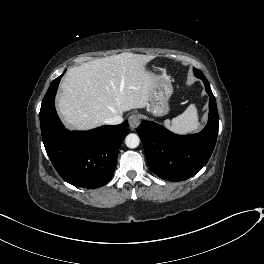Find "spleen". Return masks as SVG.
I'll list each match as a JSON object with an SVG mask.
<instances>
[{
	"instance_id": "spleen-1",
	"label": "spleen",
	"mask_w": 264,
	"mask_h": 264,
	"mask_svg": "<svg viewBox=\"0 0 264 264\" xmlns=\"http://www.w3.org/2000/svg\"><path fill=\"white\" fill-rule=\"evenodd\" d=\"M163 124L167 129L177 134H188L198 131L200 123L196 106L194 104L189 105L181 115L171 121L166 119Z\"/></svg>"
}]
</instances>
